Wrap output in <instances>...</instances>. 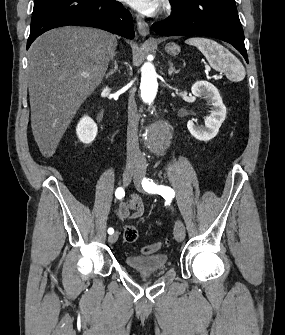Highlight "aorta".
Segmentation results:
<instances>
[{
	"mask_svg": "<svg viewBox=\"0 0 285 335\" xmlns=\"http://www.w3.org/2000/svg\"><path fill=\"white\" fill-rule=\"evenodd\" d=\"M136 96L142 98V102H163V95H159L157 74L151 62H146L141 68L140 90ZM145 137L148 152H165L167 141L173 137V130L168 125H147L142 130Z\"/></svg>",
	"mask_w": 285,
	"mask_h": 335,
	"instance_id": "aorta-1",
	"label": "aorta"
}]
</instances>
